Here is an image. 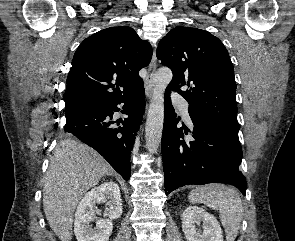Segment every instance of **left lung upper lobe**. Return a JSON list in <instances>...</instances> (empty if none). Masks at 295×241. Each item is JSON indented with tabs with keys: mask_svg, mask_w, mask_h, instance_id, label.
Instances as JSON below:
<instances>
[{
	"mask_svg": "<svg viewBox=\"0 0 295 241\" xmlns=\"http://www.w3.org/2000/svg\"><path fill=\"white\" fill-rule=\"evenodd\" d=\"M157 58L173 72L167 91L190 104L189 115L239 131L233 64L222 42L197 28L176 27L159 43ZM188 86L186 91L181 86Z\"/></svg>",
	"mask_w": 295,
	"mask_h": 241,
	"instance_id": "obj_1",
	"label": "left lung upper lobe"
}]
</instances>
